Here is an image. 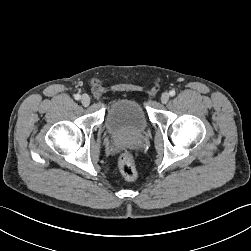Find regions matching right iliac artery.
I'll return each mask as SVG.
<instances>
[{
	"label": "right iliac artery",
	"mask_w": 251,
	"mask_h": 251,
	"mask_svg": "<svg viewBox=\"0 0 251 251\" xmlns=\"http://www.w3.org/2000/svg\"><path fill=\"white\" fill-rule=\"evenodd\" d=\"M74 98H75L76 100H80L81 96H80L79 94H75V95H74Z\"/></svg>",
	"instance_id": "obj_1"
}]
</instances>
